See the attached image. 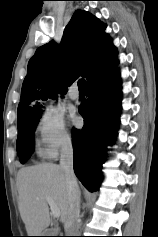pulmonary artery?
I'll return each mask as SVG.
<instances>
[{
	"mask_svg": "<svg viewBox=\"0 0 158 237\" xmlns=\"http://www.w3.org/2000/svg\"><path fill=\"white\" fill-rule=\"evenodd\" d=\"M68 96L72 100H77L79 98V93L77 91H74V90H69Z\"/></svg>",
	"mask_w": 158,
	"mask_h": 237,
	"instance_id": "e3ab8cb5",
	"label": "pulmonary artery"
}]
</instances>
